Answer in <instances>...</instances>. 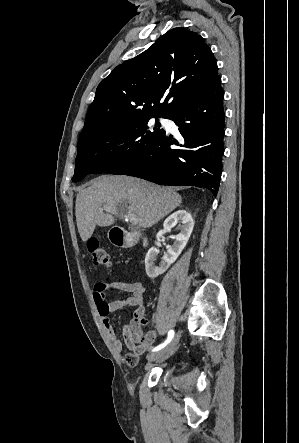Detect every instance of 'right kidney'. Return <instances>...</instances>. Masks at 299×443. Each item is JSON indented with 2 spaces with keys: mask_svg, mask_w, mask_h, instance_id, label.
<instances>
[{
  "mask_svg": "<svg viewBox=\"0 0 299 443\" xmlns=\"http://www.w3.org/2000/svg\"><path fill=\"white\" fill-rule=\"evenodd\" d=\"M177 223L180 224V232L172 237L174 242L167 246V252L159 266H155L156 257L159 250L152 247L148 250L145 257L146 274L150 278H156L163 274L169 266L176 261L182 250L185 248L194 227V220L190 213L185 210H178L171 214L163 224V230L157 233V239L163 237V234L170 231Z\"/></svg>",
  "mask_w": 299,
  "mask_h": 443,
  "instance_id": "1",
  "label": "right kidney"
}]
</instances>
